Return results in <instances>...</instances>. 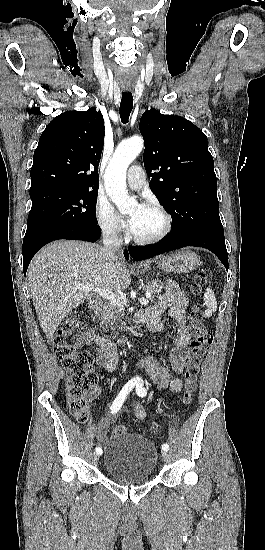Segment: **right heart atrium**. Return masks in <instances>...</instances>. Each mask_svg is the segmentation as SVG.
Segmentation results:
<instances>
[{"label": "right heart atrium", "mask_w": 265, "mask_h": 550, "mask_svg": "<svg viewBox=\"0 0 265 550\" xmlns=\"http://www.w3.org/2000/svg\"><path fill=\"white\" fill-rule=\"evenodd\" d=\"M96 222L101 231L113 238L125 232V224L112 204L105 198H98L95 204Z\"/></svg>", "instance_id": "d8ad5b80"}]
</instances>
